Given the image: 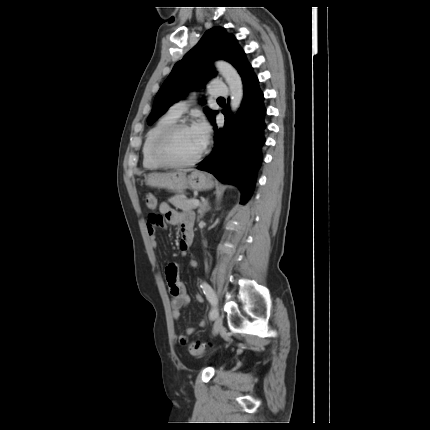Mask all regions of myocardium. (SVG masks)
<instances>
[{"label":"myocardium","mask_w":430,"mask_h":430,"mask_svg":"<svg viewBox=\"0 0 430 430\" xmlns=\"http://www.w3.org/2000/svg\"><path fill=\"white\" fill-rule=\"evenodd\" d=\"M191 128L186 121H176L161 131L151 147V153L155 160L168 167H186L198 163L206 154V147L194 158L189 160H176L172 158L167 151L168 145L173 136L181 129Z\"/></svg>","instance_id":"myocardium-1"}]
</instances>
